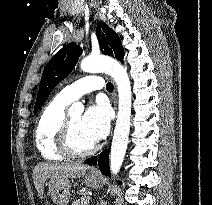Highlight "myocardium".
<instances>
[{"mask_svg":"<svg viewBox=\"0 0 212 205\" xmlns=\"http://www.w3.org/2000/svg\"><path fill=\"white\" fill-rule=\"evenodd\" d=\"M57 145L59 150L68 157L81 158L91 155L95 152L97 146L93 143L90 147L78 150L71 141V124L69 116H65L57 136Z\"/></svg>","mask_w":212,"mask_h":205,"instance_id":"obj_1","label":"myocardium"}]
</instances>
